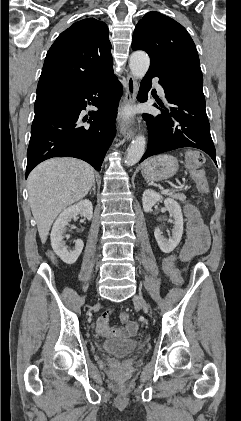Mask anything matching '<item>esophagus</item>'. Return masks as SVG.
Listing matches in <instances>:
<instances>
[{"instance_id":"esophagus-1","label":"esophagus","mask_w":241,"mask_h":421,"mask_svg":"<svg viewBox=\"0 0 241 421\" xmlns=\"http://www.w3.org/2000/svg\"><path fill=\"white\" fill-rule=\"evenodd\" d=\"M137 82L133 75L128 74L126 79V93L124 97L125 105H133L136 102V95H137ZM135 122V117L131 119L130 123L126 122L121 125L120 133L127 138V140H131L135 135V128L131 123Z\"/></svg>"}]
</instances>
